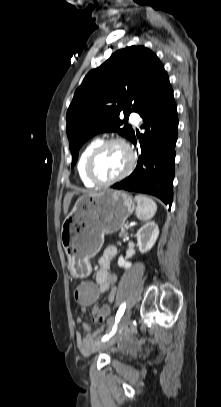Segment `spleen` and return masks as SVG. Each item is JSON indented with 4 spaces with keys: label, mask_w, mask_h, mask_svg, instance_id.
Instances as JSON below:
<instances>
[{
    "label": "spleen",
    "mask_w": 221,
    "mask_h": 407,
    "mask_svg": "<svg viewBox=\"0 0 221 407\" xmlns=\"http://www.w3.org/2000/svg\"><path fill=\"white\" fill-rule=\"evenodd\" d=\"M135 201L137 203L136 216L140 220H150L157 211L156 203L146 195H136Z\"/></svg>",
    "instance_id": "1"
}]
</instances>
